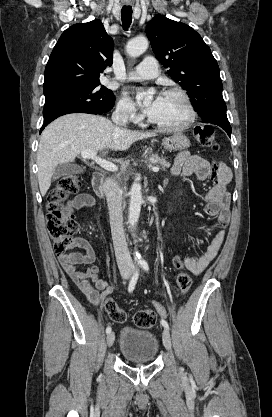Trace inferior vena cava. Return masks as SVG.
Masks as SVG:
<instances>
[{"instance_id":"602c4592","label":"inferior vena cava","mask_w":272,"mask_h":417,"mask_svg":"<svg viewBox=\"0 0 272 417\" xmlns=\"http://www.w3.org/2000/svg\"><path fill=\"white\" fill-rule=\"evenodd\" d=\"M112 121L116 125H126L128 121L126 109H116L112 114ZM103 191L106 195L109 209L111 233L118 268L122 276H129L134 270V264L125 238L122 214V193L117 182L112 178H107L105 180Z\"/></svg>"}]
</instances>
